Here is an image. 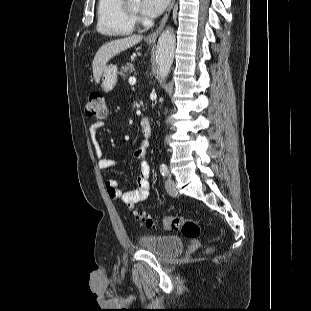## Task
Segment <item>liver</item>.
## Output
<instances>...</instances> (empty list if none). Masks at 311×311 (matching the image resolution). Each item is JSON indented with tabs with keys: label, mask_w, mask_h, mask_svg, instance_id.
<instances>
[{
	"label": "liver",
	"mask_w": 311,
	"mask_h": 311,
	"mask_svg": "<svg viewBox=\"0 0 311 311\" xmlns=\"http://www.w3.org/2000/svg\"><path fill=\"white\" fill-rule=\"evenodd\" d=\"M142 38L143 37L141 35H132L129 37L111 41L101 46L97 51L92 64L93 77L95 82H100L102 72L111 58L138 44L139 42H141Z\"/></svg>",
	"instance_id": "6515ba94"
}]
</instances>
